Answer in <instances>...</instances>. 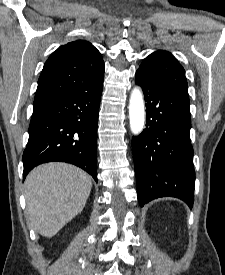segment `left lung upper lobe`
<instances>
[{
  "instance_id": "5c2ea615",
  "label": "left lung upper lobe",
  "mask_w": 225,
  "mask_h": 275,
  "mask_svg": "<svg viewBox=\"0 0 225 275\" xmlns=\"http://www.w3.org/2000/svg\"><path fill=\"white\" fill-rule=\"evenodd\" d=\"M138 71L189 99L185 70L171 53L163 50L153 52L143 60Z\"/></svg>"
}]
</instances>
